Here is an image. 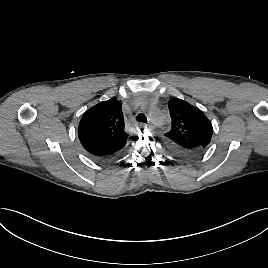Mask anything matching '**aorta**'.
<instances>
[{"label": "aorta", "mask_w": 268, "mask_h": 268, "mask_svg": "<svg viewBox=\"0 0 268 268\" xmlns=\"http://www.w3.org/2000/svg\"><path fill=\"white\" fill-rule=\"evenodd\" d=\"M148 116L151 120V122L156 126V127H162L164 124V119L162 113L154 108H147L146 109Z\"/></svg>", "instance_id": "aorta-1"}]
</instances>
